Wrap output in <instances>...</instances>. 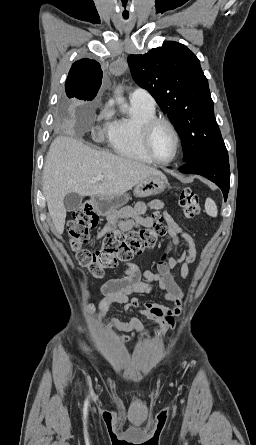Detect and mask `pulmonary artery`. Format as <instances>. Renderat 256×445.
Segmentation results:
<instances>
[{
	"mask_svg": "<svg viewBox=\"0 0 256 445\" xmlns=\"http://www.w3.org/2000/svg\"><path fill=\"white\" fill-rule=\"evenodd\" d=\"M129 100L131 104L146 108H155V100L153 96L143 88L134 89L129 95Z\"/></svg>",
	"mask_w": 256,
	"mask_h": 445,
	"instance_id": "1",
	"label": "pulmonary artery"
}]
</instances>
